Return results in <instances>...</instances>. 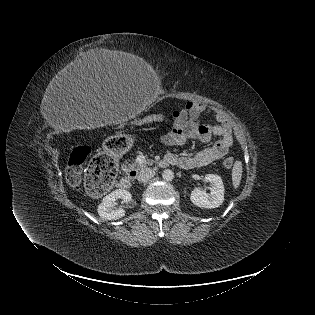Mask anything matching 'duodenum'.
<instances>
[{"mask_svg": "<svg viewBox=\"0 0 315 315\" xmlns=\"http://www.w3.org/2000/svg\"><path fill=\"white\" fill-rule=\"evenodd\" d=\"M174 162L169 159V158H164L163 160H161L160 162V165L162 167H166V166H169V165H172ZM136 175V172L135 171H129V172H126L122 177L121 179L118 181L117 183V187L118 188H121V189H127L130 187L131 185V180H132V177H134Z\"/></svg>", "mask_w": 315, "mask_h": 315, "instance_id": "410a0bca", "label": "duodenum"}]
</instances>
